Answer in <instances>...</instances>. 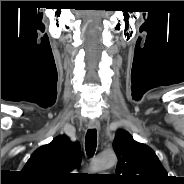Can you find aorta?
<instances>
[{"mask_svg": "<svg viewBox=\"0 0 184 184\" xmlns=\"http://www.w3.org/2000/svg\"><path fill=\"white\" fill-rule=\"evenodd\" d=\"M116 163L117 158L113 152H104L94 160L91 169L94 172H98L110 168Z\"/></svg>", "mask_w": 184, "mask_h": 184, "instance_id": "aorta-1", "label": "aorta"}]
</instances>
